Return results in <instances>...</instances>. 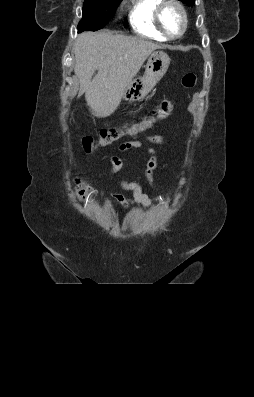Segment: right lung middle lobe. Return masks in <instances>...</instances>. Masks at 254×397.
I'll use <instances>...</instances> for the list:
<instances>
[{"mask_svg": "<svg viewBox=\"0 0 254 397\" xmlns=\"http://www.w3.org/2000/svg\"><path fill=\"white\" fill-rule=\"evenodd\" d=\"M122 0H85L83 17L78 24V32L103 28L113 17Z\"/></svg>", "mask_w": 254, "mask_h": 397, "instance_id": "obj_1", "label": "right lung middle lobe"}]
</instances>
